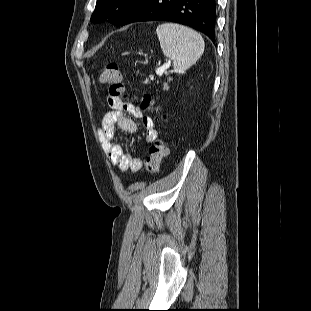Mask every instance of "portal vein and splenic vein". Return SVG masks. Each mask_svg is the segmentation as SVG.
Masks as SVG:
<instances>
[{"instance_id":"1","label":"portal vein and splenic vein","mask_w":311,"mask_h":311,"mask_svg":"<svg viewBox=\"0 0 311 311\" xmlns=\"http://www.w3.org/2000/svg\"><path fill=\"white\" fill-rule=\"evenodd\" d=\"M163 72H164V69H163V68H158V69L156 70V74H157V75H162Z\"/></svg>"}]
</instances>
